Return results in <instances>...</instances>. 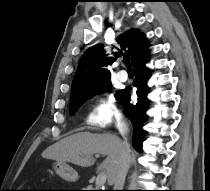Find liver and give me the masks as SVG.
I'll return each mask as SVG.
<instances>
[{
	"mask_svg": "<svg viewBox=\"0 0 210 191\" xmlns=\"http://www.w3.org/2000/svg\"><path fill=\"white\" fill-rule=\"evenodd\" d=\"M123 142L112 134H94L78 132L48 147L42 156L60 162H69L81 167H90L95 163L94 154L107 156L98 167V171H105L110 185L118 170ZM134 156L130 155V162Z\"/></svg>",
	"mask_w": 210,
	"mask_h": 191,
	"instance_id": "6515ba94",
	"label": "liver"
}]
</instances>
